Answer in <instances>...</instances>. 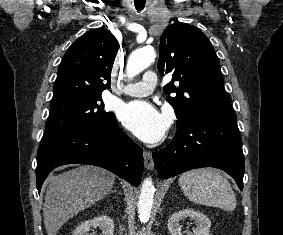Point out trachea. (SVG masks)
Masks as SVG:
<instances>
[{
  "label": "trachea",
  "instance_id": "1",
  "mask_svg": "<svg viewBox=\"0 0 283 235\" xmlns=\"http://www.w3.org/2000/svg\"><path fill=\"white\" fill-rule=\"evenodd\" d=\"M135 7L138 11H141L144 9L145 4L144 3H135Z\"/></svg>",
  "mask_w": 283,
  "mask_h": 235
}]
</instances>
